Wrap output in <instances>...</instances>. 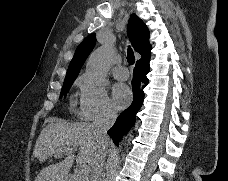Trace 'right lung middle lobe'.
<instances>
[{"label": "right lung middle lobe", "instance_id": "obj_1", "mask_svg": "<svg viewBox=\"0 0 228 181\" xmlns=\"http://www.w3.org/2000/svg\"><path fill=\"white\" fill-rule=\"evenodd\" d=\"M73 82H74V80L64 82L63 87H62V91H61V96L66 95V93L69 91Z\"/></svg>", "mask_w": 228, "mask_h": 181}]
</instances>
